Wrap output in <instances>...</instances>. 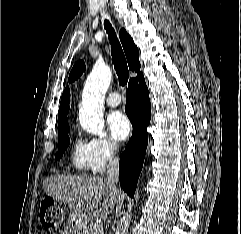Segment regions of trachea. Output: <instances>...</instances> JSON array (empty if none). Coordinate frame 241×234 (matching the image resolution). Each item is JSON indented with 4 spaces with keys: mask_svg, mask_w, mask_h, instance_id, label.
I'll list each match as a JSON object with an SVG mask.
<instances>
[{
    "mask_svg": "<svg viewBox=\"0 0 241 234\" xmlns=\"http://www.w3.org/2000/svg\"><path fill=\"white\" fill-rule=\"evenodd\" d=\"M105 29L107 30L108 37L112 45V60L119 79V83L120 85L125 86L128 82L129 77V71L125 55L116 37L114 29L107 20H105Z\"/></svg>",
    "mask_w": 241,
    "mask_h": 234,
    "instance_id": "3493384b",
    "label": "trachea"
}]
</instances>
